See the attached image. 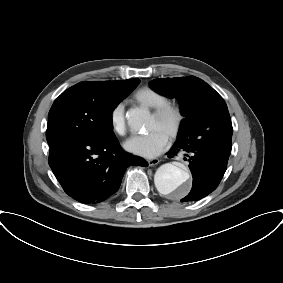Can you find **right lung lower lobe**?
I'll return each mask as SVG.
<instances>
[{
	"label": "right lung lower lobe",
	"instance_id": "1",
	"mask_svg": "<svg viewBox=\"0 0 283 283\" xmlns=\"http://www.w3.org/2000/svg\"><path fill=\"white\" fill-rule=\"evenodd\" d=\"M49 165L64 191L82 203H100L115 194L126 168L147 162L120 147L116 136L78 138L50 145Z\"/></svg>",
	"mask_w": 283,
	"mask_h": 283
}]
</instances>
